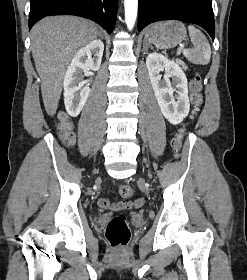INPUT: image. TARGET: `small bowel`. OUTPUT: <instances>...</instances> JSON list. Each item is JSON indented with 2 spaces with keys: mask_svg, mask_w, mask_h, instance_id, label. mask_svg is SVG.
<instances>
[{
  "mask_svg": "<svg viewBox=\"0 0 247 280\" xmlns=\"http://www.w3.org/2000/svg\"><path fill=\"white\" fill-rule=\"evenodd\" d=\"M143 203H144V200L142 198L137 199L134 202H129V203L119 202V203H114V204L110 203L105 198H102V199L99 200V205L101 207L110 208V209H113V210H119V209H122V208H138V207H141L143 205Z\"/></svg>",
  "mask_w": 247,
  "mask_h": 280,
  "instance_id": "c3829d8e",
  "label": "small bowel"
}]
</instances>
